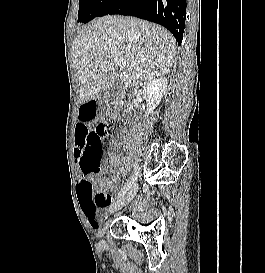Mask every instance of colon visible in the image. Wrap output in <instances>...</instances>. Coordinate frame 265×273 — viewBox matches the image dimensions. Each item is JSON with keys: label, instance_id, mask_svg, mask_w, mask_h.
<instances>
[{"label": "colon", "instance_id": "1", "mask_svg": "<svg viewBox=\"0 0 265 273\" xmlns=\"http://www.w3.org/2000/svg\"><path fill=\"white\" fill-rule=\"evenodd\" d=\"M119 126V120L112 118L106 123L98 124L93 129H76V152L81 159L80 168L83 175L99 171L102 145L117 134ZM79 192L91 195L93 193L92 184L87 179H83Z\"/></svg>", "mask_w": 265, "mask_h": 273}]
</instances>
